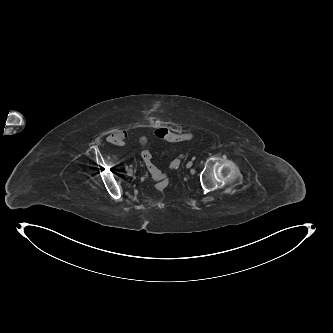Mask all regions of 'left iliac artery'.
<instances>
[{
	"instance_id": "left-iliac-artery-1",
	"label": "left iliac artery",
	"mask_w": 333,
	"mask_h": 333,
	"mask_svg": "<svg viewBox=\"0 0 333 333\" xmlns=\"http://www.w3.org/2000/svg\"><path fill=\"white\" fill-rule=\"evenodd\" d=\"M192 160H195V157H193ZM193 173H194V172H192V174H193Z\"/></svg>"
}]
</instances>
